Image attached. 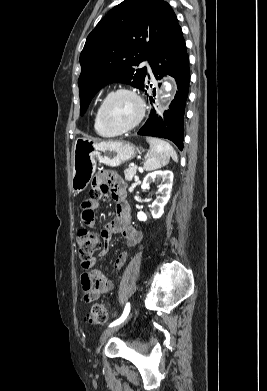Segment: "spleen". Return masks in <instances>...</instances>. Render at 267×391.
I'll return each mask as SVG.
<instances>
[{"instance_id": "obj_1", "label": "spleen", "mask_w": 267, "mask_h": 391, "mask_svg": "<svg viewBox=\"0 0 267 391\" xmlns=\"http://www.w3.org/2000/svg\"><path fill=\"white\" fill-rule=\"evenodd\" d=\"M147 142L150 148L143 164L145 171L156 170L167 165L170 158L174 161L178 160L176 151L168 142L154 137H148Z\"/></svg>"}]
</instances>
